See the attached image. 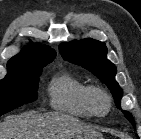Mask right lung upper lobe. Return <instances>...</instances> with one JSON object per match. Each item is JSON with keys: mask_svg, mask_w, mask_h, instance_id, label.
Instances as JSON below:
<instances>
[{"mask_svg": "<svg viewBox=\"0 0 141 139\" xmlns=\"http://www.w3.org/2000/svg\"><path fill=\"white\" fill-rule=\"evenodd\" d=\"M56 53L53 49L40 44H30L19 54L12 57L8 63V70L29 66H45L55 58Z\"/></svg>", "mask_w": 141, "mask_h": 139, "instance_id": "obj_1", "label": "right lung upper lobe"}]
</instances>
